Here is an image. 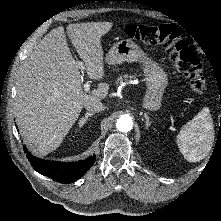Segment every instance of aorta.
<instances>
[{"instance_id": "obj_1", "label": "aorta", "mask_w": 221, "mask_h": 221, "mask_svg": "<svg viewBox=\"0 0 221 221\" xmlns=\"http://www.w3.org/2000/svg\"><path fill=\"white\" fill-rule=\"evenodd\" d=\"M116 128L120 132H129L133 128V122L132 119L128 116H122L120 117L116 122Z\"/></svg>"}]
</instances>
